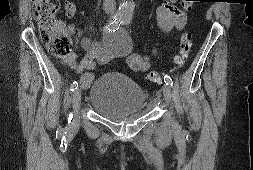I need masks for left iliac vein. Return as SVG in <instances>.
<instances>
[{
  "label": "left iliac vein",
  "mask_w": 253,
  "mask_h": 170,
  "mask_svg": "<svg viewBox=\"0 0 253 170\" xmlns=\"http://www.w3.org/2000/svg\"><path fill=\"white\" fill-rule=\"evenodd\" d=\"M164 99L166 100L167 104L171 103L172 100V90L170 86L164 85L162 88Z\"/></svg>",
  "instance_id": "4c4485c4"
}]
</instances>
